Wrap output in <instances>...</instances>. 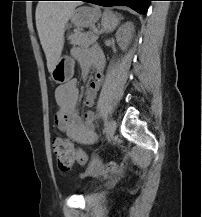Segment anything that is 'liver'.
I'll use <instances>...</instances> for the list:
<instances>
[{
	"label": "liver",
	"instance_id": "liver-1",
	"mask_svg": "<svg viewBox=\"0 0 202 217\" xmlns=\"http://www.w3.org/2000/svg\"><path fill=\"white\" fill-rule=\"evenodd\" d=\"M77 3L41 2L36 7V27L51 73L64 46L65 25Z\"/></svg>",
	"mask_w": 202,
	"mask_h": 217
}]
</instances>
